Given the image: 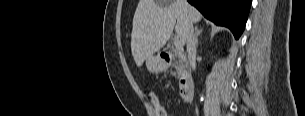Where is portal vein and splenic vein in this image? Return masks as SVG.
Instances as JSON below:
<instances>
[{"instance_id": "18ae733b", "label": "portal vein and splenic vein", "mask_w": 305, "mask_h": 116, "mask_svg": "<svg viewBox=\"0 0 305 116\" xmlns=\"http://www.w3.org/2000/svg\"><path fill=\"white\" fill-rule=\"evenodd\" d=\"M174 45L176 48H181L182 44L178 37L174 39Z\"/></svg>"}]
</instances>
